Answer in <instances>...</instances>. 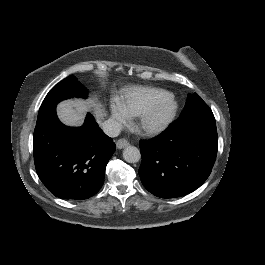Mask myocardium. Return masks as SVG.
<instances>
[{
    "instance_id": "f54148a6",
    "label": "myocardium",
    "mask_w": 265,
    "mask_h": 265,
    "mask_svg": "<svg viewBox=\"0 0 265 265\" xmlns=\"http://www.w3.org/2000/svg\"><path fill=\"white\" fill-rule=\"evenodd\" d=\"M160 95H167L171 99V107L166 112L153 116V108L156 99ZM179 101L177 97L170 91L159 90L151 101L139 113V126L138 128L145 133H154L159 131L165 124L171 121L179 110Z\"/></svg>"
}]
</instances>
